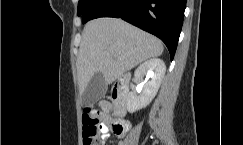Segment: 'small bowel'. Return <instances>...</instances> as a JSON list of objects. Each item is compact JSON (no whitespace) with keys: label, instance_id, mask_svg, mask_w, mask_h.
I'll use <instances>...</instances> for the list:
<instances>
[{"label":"small bowel","instance_id":"c3829d8e","mask_svg":"<svg viewBox=\"0 0 243 145\" xmlns=\"http://www.w3.org/2000/svg\"><path fill=\"white\" fill-rule=\"evenodd\" d=\"M100 105L103 108H106L107 107V103L106 102H101ZM113 121H114V119H112L111 117H109L107 115H105L103 117V122H102L101 128H100V133H101L100 140H101V144H104L105 141L107 140V138L109 137V134H110V131H111L110 125H111V123ZM125 124H126L125 131L123 133H121V134H116L115 133L117 136H121V135H123L126 132V130L128 128V124L126 122H125Z\"/></svg>","mask_w":243,"mask_h":145}]
</instances>
